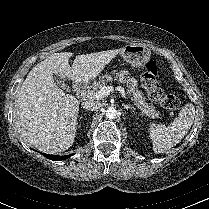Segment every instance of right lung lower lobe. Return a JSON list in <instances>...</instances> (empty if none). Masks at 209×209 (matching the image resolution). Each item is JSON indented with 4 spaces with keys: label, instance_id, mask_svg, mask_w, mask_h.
<instances>
[{
    "label": "right lung lower lobe",
    "instance_id": "right-lung-lower-lobe-1",
    "mask_svg": "<svg viewBox=\"0 0 209 209\" xmlns=\"http://www.w3.org/2000/svg\"><path fill=\"white\" fill-rule=\"evenodd\" d=\"M42 155H44L48 159L60 161V160H65V159L69 158L73 154H71V155H64V156H58V155H50V154L42 153Z\"/></svg>",
    "mask_w": 209,
    "mask_h": 209
}]
</instances>
